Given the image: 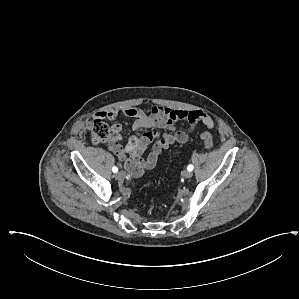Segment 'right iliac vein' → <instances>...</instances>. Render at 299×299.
<instances>
[{"label": "right iliac vein", "instance_id": "right-iliac-vein-1", "mask_svg": "<svg viewBox=\"0 0 299 299\" xmlns=\"http://www.w3.org/2000/svg\"><path fill=\"white\" fill-rule=\"evenodd\" d=\"M125 177H126V174H125V172H123V171H120V172H118V173L116 174V178H117L119 181H124Z\"/></svg>", "mask_w": 299, "mask_h": 299}]
</instances>
